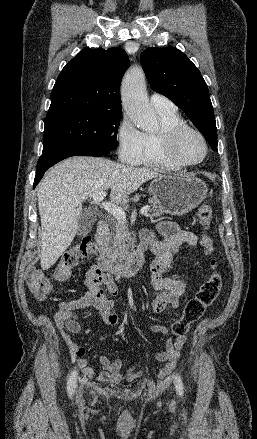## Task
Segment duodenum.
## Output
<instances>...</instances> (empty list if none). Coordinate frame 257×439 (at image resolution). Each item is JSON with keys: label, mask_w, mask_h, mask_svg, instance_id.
Returning a JSON list of instances; mask_svg holds the SVG:
<instances>
[{"label": "duodenum", "mask_w": 257, "mask_h": 439, "mask_svg": "<svg viewBox=\"0 0 257 439\" xmlns=\"http://www.w3.org/2000/svg\"><path fill=\"white\" fill-rule=\"evenodd\" d=\"M95 240L100 248L97 266L103 272L112 273L115 276L126 277L139 271L144 263L145 252L148 248L146 242H141L137 248L125 260L115 262L107 252L108 224L100 220L96 227Z\"/></svg>", "instance_id": "obj_1"}]
</instances>
